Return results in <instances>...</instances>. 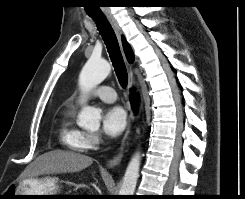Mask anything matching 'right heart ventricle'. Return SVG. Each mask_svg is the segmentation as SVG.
Instances as JSON below:
<instances>
[{"label": "right heart ventricle", "instance_id": "1", "mask_svg": "<svg viewBox=\"0 0 245 199\" xmlns=\"http://www.w3.org/2000/svg\"><path fill=\"white\" fill-rule=\"evenodd\" d=\"M74 111L75 109L71 107L62 114L59 121V136L66 148L81 153L88 150L86 133L75 124Z\"/></svg>", "mask_w": 245, "mask_h": 199}]
</instances>
